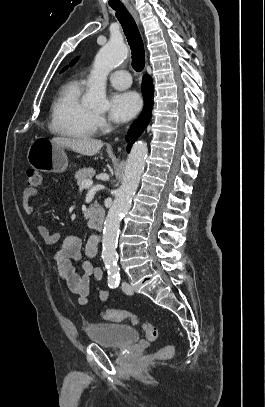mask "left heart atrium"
<instances>
[{
	"mask_svg": "<svg viewBox=\"0 0 265 407\" xmlns=\"http://www.w3.org/2000/svg\"><path fill=\"white\" fill-rule=\"evenodd\" d=\"M140 107L141 100L135 92H116L109 102V115L115 122H126L138 113Z\"/></svg>",
	"mask_w": 265,
	"mask_h": 407,
	"instance_id": "obj_1",
	"label": "left heart atrium"
}]
</instances>
